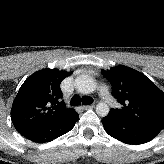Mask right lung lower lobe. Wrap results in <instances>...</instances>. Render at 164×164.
I'll return each instance as SVG.
<instances>
[{
  "label": "right lung lower lobe",
  "mask_w": 164,
  "mask_h": 164,
  "mask_svg": "<svg viewBox=\"0 0 164 164\" xmlns=\"http://www.w3.org/2000/svg\"><path fill=\"white\" fill-rule=\"evenodd\" d=\"M78 120V114L73 112L72 114L62 117L48 125L39 127L22 135L33 142H49L70 131Z\"/></svg>",
  "instance_id": "right-lung-lower-lobe-1"
}]
</instances>
